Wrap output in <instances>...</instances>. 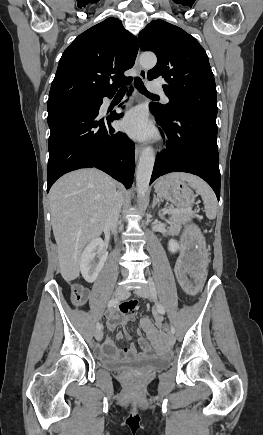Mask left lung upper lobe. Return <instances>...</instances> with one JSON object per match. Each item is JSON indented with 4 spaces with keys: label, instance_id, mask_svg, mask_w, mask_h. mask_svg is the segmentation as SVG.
I'll return each mask as SVG.
<instances>
[{
    "label": "left lung upper lobe",
    "instance_id": "1",
    "mask_svg": "<svg viewBox=\"0 0 263 435\" xmlns=\"http://www.w3.org/2000/svg\"><path fill=\"white\" fill-rule=\"evenodd\" d=\"M142 51H153L156 66L148 80L163 78L166 105L153 104L164 117L177 111L217 114V92L208 56L197 40L181 28L163 20L150 22L138 36Z\"/></svg>",
    "mask_w": 263,
    "mask_h": 435
}]
</instances>
